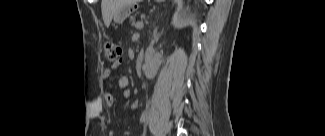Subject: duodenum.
<instances>
[{"mask_svg":"<svg viewBox=\"0 0 325 136\" xmlns=\"http://www.w3.org/2000/svg\"><path fill=\"white\" fill-rule=\"evenodd\" d=\"M144 61H145V53L139 52L136 62H135L136 73H143Z\"/></svg>","mask_w":325,"mask_h":136,"instance_id":"obj_1","label":"duodenum"}]
</instances>
